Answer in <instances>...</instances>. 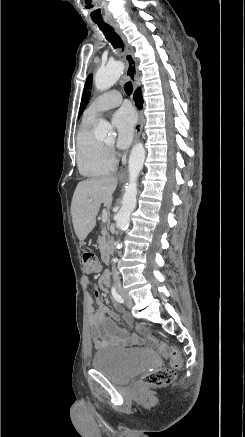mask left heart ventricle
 <instances>
[{
    "instance_id": "left-heart-ventricle-1",
    "label": "left heart ventricle",
    "mask_w": 245,
    "mask_h": 437,
    "mask_svg": "<svg viewBox=\"0 0 245 437\" xmlns=\"http://www.w3.org/2000/svg\"><path fill=\"white\" fill-rule=\"evenodd\" d=\"M112 140H108V141H106V144H108V145H110V144H112Z\"/></svg>"
}]
</instances>
